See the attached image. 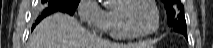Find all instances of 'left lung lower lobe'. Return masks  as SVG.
I'll list each match as a JSON object with an SVG mask.
<instances>
[{"label": "left lung lower lobe", "mask_w": 213, "mask_h": 48, "mask_svg": "<svg viewBox=\"0 0 213 48\" xmlns=\"http://www.w3.org/2000/svg\"><path fill=\"white\" fill-rule=\"evenodd\" d=\"M178 30H180V29H178ZM181 32L184 34L185 37H187V30H181Z\"/></svg>", "instance_id": "left-lung-lower-lobe-1"}]
</instances>
